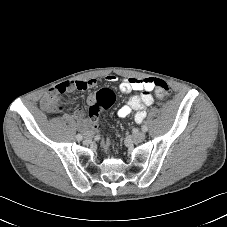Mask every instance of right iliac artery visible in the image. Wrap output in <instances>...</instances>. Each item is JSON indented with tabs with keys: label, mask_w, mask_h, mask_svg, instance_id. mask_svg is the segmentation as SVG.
Masks as SVG:
<instances>
[{
	"label": "right iliac artery",
	"mask_w": 227,
	"mask_h": 227,
	"mask_svg": "<svg viewBox=\"0 0 227 227\" xmlns=\"http://www.w3.org/2000/svg\"><path fill=\"white\" fill-rule=\"evenodd\" d=\"M76 139H77L78 141H81V140L83 139V136H82L81 134H77V135H76Z\"/></svg>",
	"instance_id": "82829eb1"
}]
</instances>
